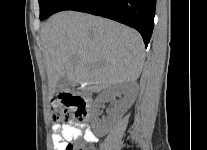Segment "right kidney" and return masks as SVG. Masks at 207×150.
I'll use <instances>...</instances> for the list:
<instances>
[{
    "label": "right kidney",
    "mask_w": 207,
    "mask_h": 150,
    "mask_svg": "<svg viewBox=\"0 0 207 150\" xmlns=\"http://www.w3.org/2000/svg\"><path fill=\"white\" fill-rule=\"evenodd\" d=\"M126 91L127 88L121 84L111 87L107 92L99 95L96 98L95 107L100 108L101 104L105 102L109 97L114 98L116 96H119L121 93H126ZM129 107L130 104L127 100H123L120 104H118V106L116 107V114L118 115V117H122Z\"/></svg>",
    "instance_id": "right-kidney-1"
}]
</instances>
